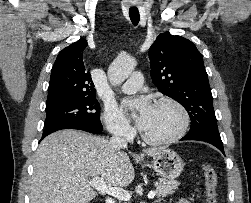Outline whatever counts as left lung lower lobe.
Masks as SVG:
<instances>
[{
    "instance_id": "0a47b994",
    "label": "left lung lower lobe",
    "mask_w": 251,
    "mask_h": 203,
    "mask_svg": "<svg viewBox=\"0 0 251 203\" xmlns=\"http://www.w3.org/2000/svg\"><path fill=\"white\" fill-rule=\"evenodd\" d=\"M181 140H198L208 142L213 146L217 147L224 154L223 143L221 141L220 134H214L209 132L186 134Z\"/></svg>"
}]
</instances>
